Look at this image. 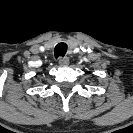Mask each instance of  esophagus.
I'll use <instances>...</instances> for the list:
<instances>
[{
	"instance_id": "obj_1",
	"label": "esophagus",
	"mask_w": 133,
	"mask_h": 133,
	"mask_svg": "<svg viewBox=\"0 0 133 133\" xmlns=\"http://www.w3.org/2000/svg\"><path fill=\"white\" fill-rule=\"evenodd\" d=\"M69 64V58L68 57H61L59 59V65L60 66H67Z\"/></svg>"
}]
</instances>
